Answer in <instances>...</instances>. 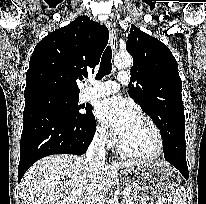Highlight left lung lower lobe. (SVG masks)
<instances>
[{
	"mask_svg": "<svg viewBox=\"0 0 206 204\" xmlns=\"http://www.w3.org/2000/svg\"><path fill=\"white\" fill-rule=\"evenodd\" d=\"M163 148L165 159L188 179L189 173L186 162L185 130L184 133L183 130L182 133H179V131L170 133L168 137L163 139Z\"/></svg>",
	"mask_w": 206,
	"mask_h": 204,
	"instance_id": "0a47b994",
	"label": "left lung lower lobe"
}]
</instances>
